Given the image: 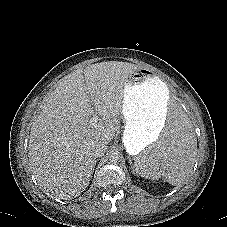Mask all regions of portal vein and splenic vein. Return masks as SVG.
<instances>
[{
	"instance_id": "obj_1",
	"label": "portal vein and splenic vein",
	"mask_w": 227,
	"mask_h": 227,
	"mask_svg": "<svg viewBox=\"0 0 227 227\" xmlns=\"http://www.w3.org/2000/svg\"><path fill=\"white\" fill-rule=\"evenodd\" d=\"M98 122V116L97 115H93L90 119V124L91 125H95Z\"/></svg>"
}]
</instances>
